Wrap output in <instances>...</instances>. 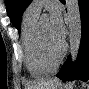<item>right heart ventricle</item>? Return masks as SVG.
I'll use <instances>...</instances> for the list:
<instances>
[{"label": "right heart ventricle", "mask_w": 89, "mask_h": 89, "mask_svg": "<svg viewBox=\"0 0 89 89\" xmlns=\"http://www.w3.org/2000/svg\"><path fill=\"white\" fill-rule=\"evenodd\" d=\"M38 16L25 12L22 19V42L24 62L28 72L33 76H44L55 69V66L44 62L36 44Z\"/></svg>", "instance_id": "obj_1"}]
</instances>
